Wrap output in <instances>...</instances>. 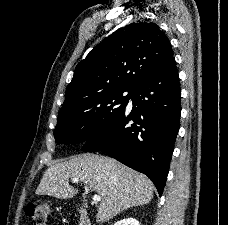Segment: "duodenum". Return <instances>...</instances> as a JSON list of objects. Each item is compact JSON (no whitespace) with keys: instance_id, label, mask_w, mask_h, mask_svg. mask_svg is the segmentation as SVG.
<instances>
[{"instance_id":"duodenum-1","label":"duodenum","mask_w":228,"mask_h":225,"mask_svg":"<svg viewBox=\"0 0 228 225\" xmlns=\"http://www.w3.org/2000/svg\"><path fill=\"white\" fill-rule=\"evenodd\" d=\"M78 210V218H77V225H91V219L85 210V208L81 205H77Z\"/></svg>"}]
</instances>
